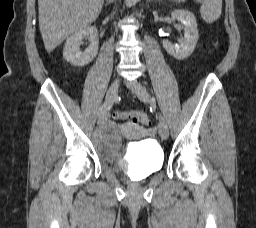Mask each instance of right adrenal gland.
I'll return each instance as SVG.
<instances>
[{"mask_svg":"<svg viewBox=\"0 0 256 228\" xmlns=\"http://www.w3.org/2000/svg\"><path fill=\"white\" fill-rule=\"evenodd\" d=\"M112 2H113V0H107V2H106L105 5L107 6V5H109L110 3H112Z\"/></svg>","mask_w":256,"mask_h":228,"instance_id":"right-adrenal-gland-1","label":"right adrenal gland"}]
</instances>
